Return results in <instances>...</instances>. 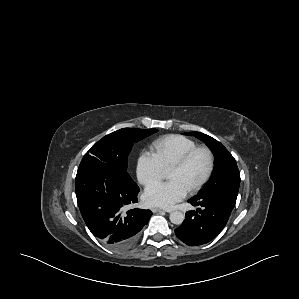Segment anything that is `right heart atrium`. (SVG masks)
<instances>
[{"label":"right heart atrium","instance_id":"d8ad5b80","mask_svg":"<svg viewBox=\"0 0 299 299\" xmlns=\"http://www.w3.org/2000/svg\"><path fill=\"white\" fill-rule=\"evenodd\" d=\"M165 174V170L154 153L142 151L136 162V175L138 181L147 186L160 180Z\"/></svg>","mask_w":299,"mask_h":299}]
</instances>
